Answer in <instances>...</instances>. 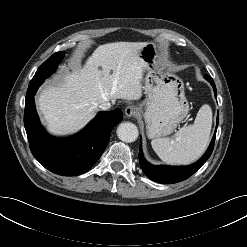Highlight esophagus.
I'll use <instances>...</instances> for the list:
<instances>
[{"instance_id": "esophagus-1", "label": "esophagus", "mask_w": 247, "mask_h": 247, "mask_svg": "<svg viewBox=\"0 0 247 247\" xmlns=\"http://www.w3.org/2000/svg\"><path fill=\"white\" fill-rule=\"evenodd\" d=\"M139 113V109L135 105H129L125 108V115L127 117L136 116Z\"/></svg>"}]
</instances>
